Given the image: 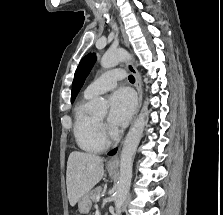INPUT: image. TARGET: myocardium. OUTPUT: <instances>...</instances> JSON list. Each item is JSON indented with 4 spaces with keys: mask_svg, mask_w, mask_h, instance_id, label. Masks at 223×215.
<instances>
[{
    "mask_svg": "<svg viewBox=\"0 0 223 215\" xmlns=\"http://www.w3.org/2000/svg\"><path fill=\"white\" fill-rule=\"evenodd\" d=\"M96 125L101 141L105 142L107 145H113L118 142V135L109 131L107 125L104 122H101L96 118Z\"/></svg>",
    "mask_w": 223,
    "mask_h": 215,
    "instance_id": "f54148a6",
    "label": "myocardium"
}]
</instances>
